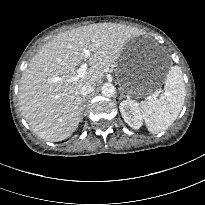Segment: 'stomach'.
<instances>
[{
    "label": "stomach",
    "instance_id": "0dacf381",
    "mask_svg": "<svg viewBox=\"0 0 205 205\" xmlns=\"http://www.w3.org/2000/svg\"><path fill=\"white\" fill-rule=\"evenodd\" d=\"M137 53L134 47L127 46L120 55L117 77L122 84L121 89L130 94H151L156 86L141 80L137 70Z\"/></svg>",
    "mask_w": 205,
    "mask_h": 205
}]
</instances>
